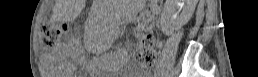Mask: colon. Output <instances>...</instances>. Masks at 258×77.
Instances as JSON below:
<instances>
[{"label":"colon","instance_id":"colon-1","mask_svg":"<svg viewBox=\"0 0 258 77\" xmlns=\"http://www.w3.org/2000/svg\"><path fill=\"white\" fill-rule=\"evenodd\" d=\"M64 28L43 24L40 33L44 43L51 45L63 34ZM136 61L145 68H151L156 60L155 40L152 35H145L141 38L135 50Z\"/></svg>","mask_w":258,"mask_h":77}]
</instances>
